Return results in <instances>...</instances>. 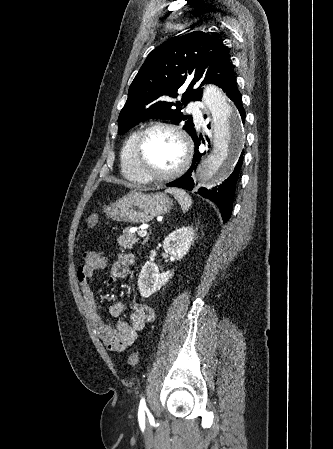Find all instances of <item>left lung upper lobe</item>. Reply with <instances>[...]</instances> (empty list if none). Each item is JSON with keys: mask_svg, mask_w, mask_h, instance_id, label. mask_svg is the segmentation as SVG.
Returning <instances> with one entry per match:
<instances>
[{"mask_svg": "<svg viewBox=\"0 0 333 449\" xmlns=\"http://www.w3.org/2000/svg\"><path fill=\"white\" fill-rule=\"evenodd\" d=\"M232 72L223 42L210 34L194 31L163 43L148 55L130 85L118 133L124 134L141 121L162 118L176 124L185 121L183 128L194 135L192 116H184L181 109L189 101L201 100L203 84L221 87ZM202 79L200 87L193 89ZM185 86L181 102L174 103L172 98Z\"/></svg>", "mask_w": 333, "mask_h": 449, "instance_id": "5c2ea615", "label": "left lung upper lobe"}]
</instances>
